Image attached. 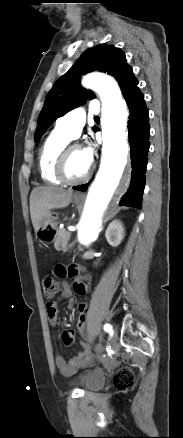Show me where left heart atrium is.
I'll list each match as a JSON object with an SVG mask.
<instances>
[{
    "label": "left heart atrium",
    "instance_id": "1",
    "mask_svg": "<svg viewBox=\"0 0 183 438\" xmlns=\"http://www.w3.org/2000/svg\"><path fill=\"white\" fill-rule=\"evenodd\" d=\"M83 153H84L86 159H87L89 162H91V161H92V158H93V149H92V147H91V146H88V147L84 148V149H83Z\"/></svg>",
    "mask_w": 183,
    "mask_h": 438
}]
</instances>
